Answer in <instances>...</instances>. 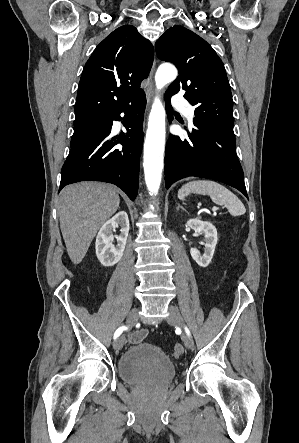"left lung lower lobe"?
Here are the masks:
<instances>
[{
	"instance_id": "left-lung-lower-lobe-1",
	"label": "left lung lower lobe",
	"mask_w": 299,
	"mask_h": 443,
	"mask_svg": "<svg viewBox=\"0 0 299 443\" xmlns=\"http://www.w3.org/2000/svg\"><path fill=\"white\" fill-rule=\"evenodd\" d=\"M170 97L165 95L169 120ZM188 139L170 135L165 150V186L179 179L196 176L228 184L248 197L244 174L236 155L235 136L219 126L198 122Z\"/></svg>"
}]
</instances>
